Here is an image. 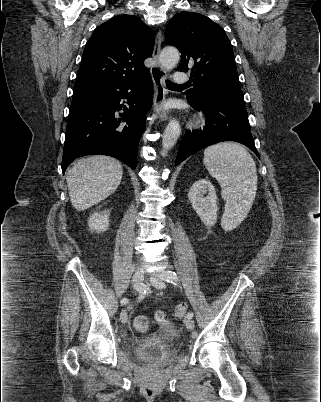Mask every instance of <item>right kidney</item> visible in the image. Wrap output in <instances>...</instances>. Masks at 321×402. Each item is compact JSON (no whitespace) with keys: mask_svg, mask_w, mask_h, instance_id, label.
<instances>
[{"mask_svg":"<svg viewBox=\"0 0 321 402\" xmlns=\"http://www.w3.org/2000/svg\"><path fill=\"white\" fill-rule=\"evenodd\" d=\"M88 225L91 230L96 232H103L108 229L109 226V217L106 212H95L93 213L89 220Z\"/></svg>","mask_w":321,"mask_h":402,"instance_id":"1","label":"right kidney"}]
</instances>
